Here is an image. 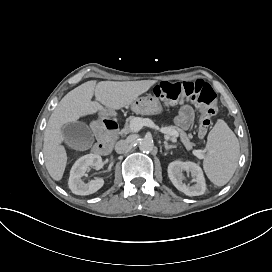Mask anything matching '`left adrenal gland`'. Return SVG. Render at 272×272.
Wrapping results in <instances>:
<instances>
[{"label": "left adrenal gland", "instance_id": "1", "mask_svg": "<svg viewBox=\"0 0 272 272\" xmlns=\"http://www.w3.org/2000/svg\"><path fill=\"white\" fill-rule=\"evenodd\" d=\"M165 149H171V148H176V145H168L167 141H164Z\"/></svg>", "mask_w": 272, "mask_h": 272}]
</instances>
